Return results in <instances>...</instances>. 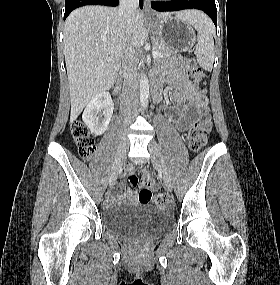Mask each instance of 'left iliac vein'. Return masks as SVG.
<instances>
[{"label": "left iliac vein", "mask_w": 280, "mask_h": 285, "mask_svg": "<svg viewBox=\"0 0 280 285\" xmlns=\"http://www.w3.org/2000/svg\"><path fill=\"white\" fill-rule=\"evenodd\" d=\"M149 152L151 154V160L156 168L160 171L163 179L164 186L167 190H172V177L166 166L164 158L160 152V148L156 142L150 141L148 145Z\"/></svg>", "instance_id": "1"}]
</instances>
